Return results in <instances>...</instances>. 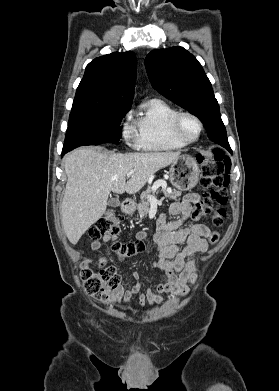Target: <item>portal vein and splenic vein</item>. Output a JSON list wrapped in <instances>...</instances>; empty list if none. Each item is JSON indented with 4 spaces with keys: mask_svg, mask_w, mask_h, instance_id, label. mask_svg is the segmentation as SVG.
<instances>
[{
    "mask_svg": "<svg viewBox=\"0 0 279 391\" xmlns=\"http://www.w3.org/2000/svg\"><path fill=\"white\" fill-rule=\"evenodd\" d=\"M131 175H132V172L127 173V177H131ZM161 185L166 186V184H165L163 181H157V182H155V184H154V186H153V189L156 190V189H157L159 186H161ZM147 199H148V201H149L150 203H155V204L158 203V200H157L154 196H152V195H149V196L147 197Z\"/></svg>",
    "mask_w": 279,
    "mask_h": 391,
    "instance_id": "obj_1",
    "label": "portal vein and splenic vein"
}]
</instances>
